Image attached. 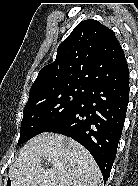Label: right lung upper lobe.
Masks as SVG:
<instances>
[{
  "label": "right lung upper lobe",
  "instance_id": "1",
  "mask_svg": "<svg viewBox=\"0 0 138 186\" xmlns=\"http://www.w3.org/2000/svg\"><path fill=\"white\" fill-rule=\"evenodd\" d=\"M127 80L128 65L114 32L90 19L79 23L58 46L55 62L40 70L29 94L69 85H117Z\"/></svg>",
  "mask_w": 138,
  "mask_h": 186
}]
</instances>
